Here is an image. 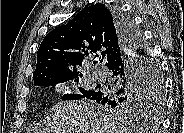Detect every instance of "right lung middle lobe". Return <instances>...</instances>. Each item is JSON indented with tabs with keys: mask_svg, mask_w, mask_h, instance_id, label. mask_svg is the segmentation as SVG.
<instances>
[{
	"mask_svg": "<svg viewBox=\"0 0 184 133\" xmlns=\"http://www.w3.org/2000/svg\"><path fill=\"white\" fill-rule=\"evenodd\" d=\"M128 18V17H127ZM131 21L130 18H128ZM133 30L135 35L139 40L142 41L145 47V53L147 55V65L145 69V75L143 81L137 85V87L131 92H128L127 95L118 97L113 100L109 105L111 107L112 112L114 113H122V112H132L142 110L150 105L157 108L162 106L163 104V79L161 75V69L156 61L155 57L152 54L150 47L147 45L145 40L143 39L141 31L134 25L132 22ZM75 82H79V78L77 76H52L42 78L35 83L38 86H55L58 83H63L67 80H73ZM80 94H64L63 100H76L80 98L87 97L90 94H93L97 90H85L83 88H79Z\"/></svg>",
	"mask_w": 184,
	"mask_h": 133,
	"instance_id": "dd1d6c3e",
	"label": "right lung middle lobe"
}]
</instances>
